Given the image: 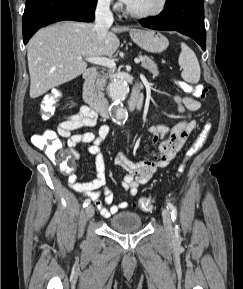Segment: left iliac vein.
I'll use <instances>...</instances> for the list:
<instances>
[{"label":"left iliac vein","mask_w":243,"mask_h":289,"mask_svg":"<svg viewBox=\"0 0 243 289\" xmlns=\"http://www.w3.org/2000/svg\"><path fill=\"white\" fill-rule=\"evenodd\" d=\"M163 224L167 233H172L173 227L171 222V215L168 208L162 210Z\"/></svg>","instance_id":"left-iliac-vein-1"}]
</instances>
